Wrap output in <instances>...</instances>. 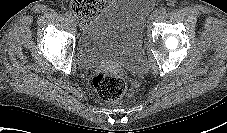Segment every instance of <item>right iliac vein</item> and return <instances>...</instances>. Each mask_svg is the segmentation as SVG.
<instances>
[{"label": "right iliac vein", "mask_w": 227, "mask_h": 133, "mask_svg": "<svg viewBox=\"0 0 227 133\" xmlns=\"http://www.w3.org/2000/svg\"><path fill=\"white\" fill-rule=\"evenodd\" d=\"M71 22H72L73 24H76V19H75L74 17H71Z\"/></svg>", "instance_id": "right-iliac-vein-1"}]
</instances>
